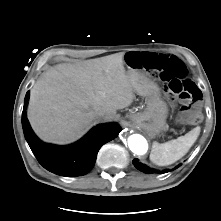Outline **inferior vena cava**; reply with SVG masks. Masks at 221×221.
Segmentation results:
<instances>
[{"instance_id": "602c4592", "label": "inferior vena cava", "mask_w": 221, "mask_h": 221, "mask_svg": "<svg viewBox=\"0 0 221 221\" xmlns=\"http://www.w3.org/2000/svg\"><path fill=\"white\" fill-rule=\"evenodd\" d=\"M95 116H96V118H97L98 120H104V118H105V113H104L103 111H97V112L95 113Z\"/></svg>"}]
</instances>
